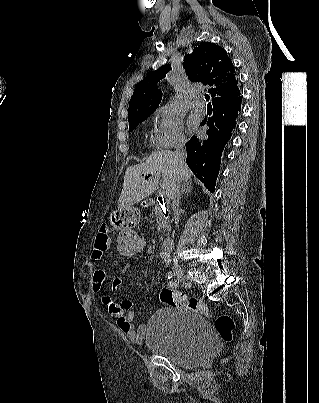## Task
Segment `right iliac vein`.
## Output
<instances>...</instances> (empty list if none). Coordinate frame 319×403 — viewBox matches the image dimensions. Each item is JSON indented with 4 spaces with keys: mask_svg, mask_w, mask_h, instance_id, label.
I'll use <instances>...</instances> for the list:
<instances>
[{
    "mask_svg": "<svg viewBox=\"0 0 319 403\" xmlns=\"http://www.w3.org/2000/svg\"><path fill=\"white\" fill-rule=\"evenodd\" d=\"M173 271L174 274L177 278V280L186 288H190L191 287V282L190 280L187 278V276L185 275L183 269L179 266V265H174L173 266Z\"/></svg>",
    "mask_w": 319,
    "mask_h": 403,
    "instance_id": "obj_1",
    "label": "right iliac vein"
}]
</instances>
